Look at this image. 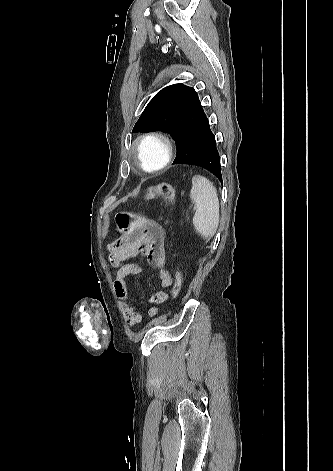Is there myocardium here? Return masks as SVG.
Here are the masks:
<instances>
[{
	"mask_svg": "<svg viewBox=\"0 0 333 471\" xmlns=\"http://www.w3.org/2000/svg\"><path fill=\"white\" fill-rule=\"evenodd\" d=\"M151 142L157 143L158 145L161 146L163 150V157L160 163L157 164L155 167L148 168L144 164V161L142 158V151H143V147L146 144L151 143ZM134 150H135V159H136V163L138 167L147 173H156L164 169L169 164L172 158V154H173V146L170 139L166 135L160 132H150L139 137L134 144Z\"/></svg>",
	"mask_w": 333,
	"mask_h": 471,
	"instance_id": "1",
	"label": "myocardium"
}]
</instances>
